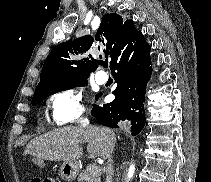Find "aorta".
<instances>
[{
	"label": "aorta",
	"instance_id": "obj_1",
	"mask_svg": "<svg viewBox=\"0 0 211 182\" xmlns=\"http://www.w3.org/2000/svg\"><path fill=\"white\" fill-rule=\"evenodd\" d=\"M134 170H135L134 165H131L129 168V171H128L127 181H129L132 178V176L134 174Z\"/></svg>",
	"mask_w": 211,
	"mask_h": 182
}]
</instances>
